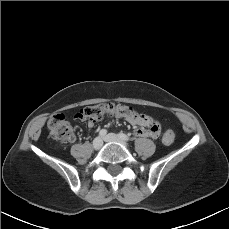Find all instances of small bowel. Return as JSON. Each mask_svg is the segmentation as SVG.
Returning <instances> with one entry per match:
<instances>
[{
  "label": "small bowel",
  "instance_id": "1",
  "mask_svg": "<svg viewBox=\"0 0 229 229\" xmlns=\"http://www.w3.org/2000/svg\"><path fill=\"white\" fill-rule=\"evenodd\" d=\"M127 121L132 125L138 126L135 130L134 134L138 137H150L156 138L158 133L153 129H147L146 127L152 123V119L150 116L146 114H136L135 116L126 117ZM95 121H87V126L92 128L95 126Z\"/></svg>",
  "mask_w": 229,
  "mask_h": 229
}]
</instances>
